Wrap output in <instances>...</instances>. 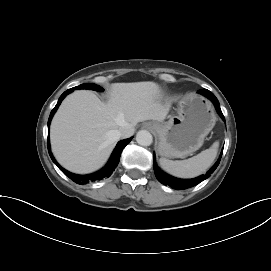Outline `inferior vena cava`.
<instances>
[{
	"label": "inferior vena cava",
	"instance_id": "1",
	"mask_svg": "<svg viewBox=\"0 0 271 271\" xmlns=\"http://www.w3.org/2000/svg\"><path fill=\"white\" fill-rule=\"evenodd\" d=\"M134 127L130 124H126L117 130V135L120 138H129L134 134Z\"/></svg>",
	"mask_w": 271,
	"mask_h": 271
}]
</instances>
